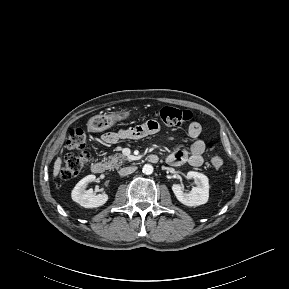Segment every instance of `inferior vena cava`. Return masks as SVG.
Listing matches in <instances>:
<instances>
[{"instance_id":"602c4592","label":"inferior vena cava","mask_w":289,"mask_h":289,"mask_svg":"<svg viewBox=\"0 0 289 289\" xmlns=\"http://www.w3.org/2000/svg\"><path fill=\"white\" fill-rule=\"evenodd\" d=\"M137 170V167L136 166H130V167H124V168H121L118 173L120 176H127L133 172H135Z\"/></svg>"}]
</instances>
